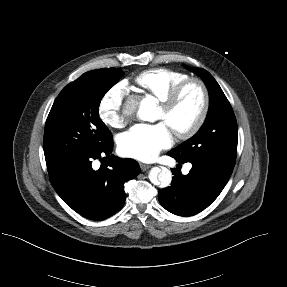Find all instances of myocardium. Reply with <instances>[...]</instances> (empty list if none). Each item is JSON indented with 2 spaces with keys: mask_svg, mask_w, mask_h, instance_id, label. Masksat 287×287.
Masks as SVG:
<instances>
[{
  "mask_svg": "<svg viewBox=\"0 0 287 287\" xmlns=\"http://www.w3.org/2000/svg\"><path fill=\"white\" fill-rule=\"evenodd\" d=\"M192 85L197 86V88L200 90L202 96V106L197 119L190 127L184 130L173 131L175 136L181 140H186L194 136L202 128L207 119L210 109V94L207 86L199 78H187L180 82L177 86H175L168 94L166 99L160 103V107L163 110L164 114H171L178 106L186 89Z\"/></svg>",
  "mask_w": 287,
  "mask_h": 287,
  "instance_id": "obj_1",
  "label": "myocardium"
}]
</instances>
